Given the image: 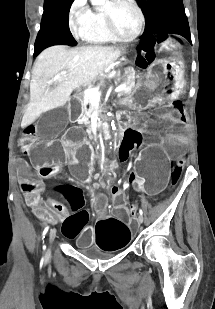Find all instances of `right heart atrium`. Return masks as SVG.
<instances>
[{
    "instance_id": "right-heart-atrium-1",
    "label": "right heart atrium",
    "mask_w": 215,
    "mask_h": 309,
    "mask_svg": "<svg viewBox=\"0 0 215 309\" xmlns=\"http://www.w3.org/2000/svg\"><path fill=\"white\" fill-rule=\"evenodd\" d=\"M73 5L74 7L69 14V23L73 34L77 37H81L83 35L81 29H88L91 21L94 20V15L87 14V11L76 8L85 7L86 0H73Z\"/></svg>"
}]
</instances>
